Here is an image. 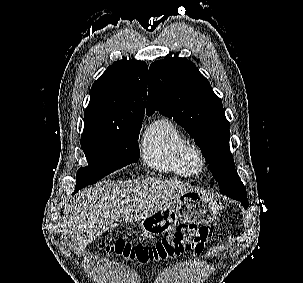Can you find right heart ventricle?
Masks as SVG:
<instances>
[{
    "label": "right heart ventricle",
    "instance_id": "right-heart-ventricle-1",
    "mask_svg": "<svg viewBox=\"0 0 303 283\" xmlns=\"http://www.w3.org/2000/svg\"><path fill=\"white\" fill-rule=\"evenodd\" d=\"M188 146L183 132L172 120L164 117L156 119L142 138L143 162L153 170L187 178L191 175L185 162Z\"/></svg>",
    "mask_w": 303,
    "mask_h": 283
}]
</instances>
